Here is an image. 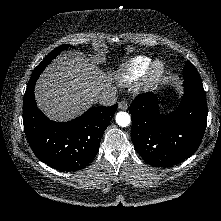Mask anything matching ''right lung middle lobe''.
<instances>
[{
    "instance_id": "right-lung-middle-lobe-1",
    "label": "right lung middle lobe",
    "mask_w": 221,
    "mask_h": 221,
    "mask_svg": "<svg viewBox=\"0 0 221 221\" xmlns=\"http://www.w3.org/2000/svg\"><path fill=\"white\" fill-rule=\"evenodd\" d=\"M67 47H70V45L64 44L55 48L51 53H49L48 56L34 69L29 82L36 81L41 72L46 68V66L58 55L61 50H64Z\"/></svg>"
}]
</instances>
